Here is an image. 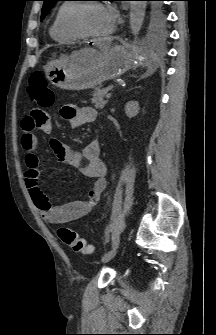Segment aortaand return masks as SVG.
Wrapping results in <instances>:
<instances>
[{
    "label": "aorta",
    "instance_id": "obj_1",
    "mask_svg": "<svg viewBox=\"0 0 216 335\" xmlns=\"http://www.w3.org/2000/svg\"><path fill=\"white\" fill-rule=\"evenodd\" d=\"M146 4L143 1H132L130 7V29L136 35L144 20Z\"/></svg>",
    "mask_w": 216,
    "mask_h": 335
}]
</instances>
